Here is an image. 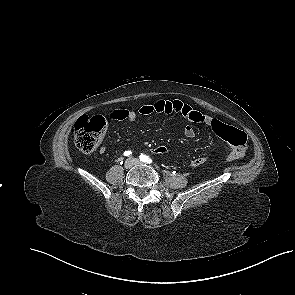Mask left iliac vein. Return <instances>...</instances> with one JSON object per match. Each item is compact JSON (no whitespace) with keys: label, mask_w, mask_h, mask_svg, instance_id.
Listing matches in <instances>:
<instances>
[{"label":"left iliac vein","mask_w":295,"mask_h":295,"mask_svg":"<svg viewBox=\"0 0 295 295\" xmlns=\"http://www.w3.org/2000/svg\"><path fill=\"white\" fill-rule=\"evenodd\" d=\"M132 161H133V164L134 165H139V164H141V161L139 160V159H137V158H133V159H131Z\"/></svg>","instance_id":"obj_1"}]
</instances>
